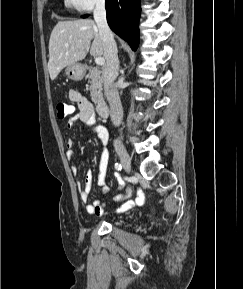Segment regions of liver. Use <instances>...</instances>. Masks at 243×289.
I'll return each instance as SVG.
<instances>
[{"label":"liver","mask_w":243,"mask_h":289,"mask_svg":"<svg viewBox=\"0 0 243 289\" xmlns=\"http://www.w3.org/2000/svg\"><path fill=\"white\" fill-rule=\"evenodd\" d=\"M89 51L94 57L104 55V45L95 22L91 19L59 21L49 40L48 71L51 80L56 79L63 68L83 60Z\"/></svg>","instance_id":"obj_1"}]
</instances>
